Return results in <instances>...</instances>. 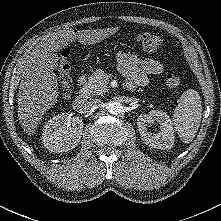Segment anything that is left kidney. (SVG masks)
Here are the masks:
<instances>
[{"label":"left kidney","instance_id":"left-kidney-1","mask_svg":"<svg viewBox=\"0 0 221 221\" xmlns=\"http://www.w3.org/2000/svg\"><path fill=\"white\" fill-rule=\"evenodd\" d=\"M160 124L159 133L147 132V123ZM137 126L144 143L156 149H171L174 144V130L169 116L159 110H152L147 114H141L137 119Z\"/></svg>","mask_w":221,"mask_h":221}]
</instances>
